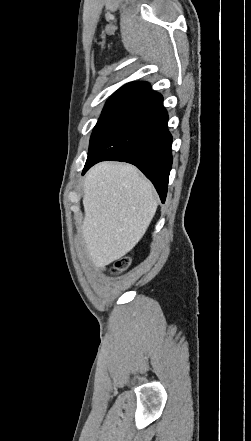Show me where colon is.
I'll return each instance as SVG.
<instances>
[{
    "mask_svg": "<svg viewBox=\"0 0 251 441\" xmlns=\"http://www.w3.org/2000/svg\"><path fill=\"white\" fill-rule=\"evenodd\" d=\"M130 264L129 258H121L117 260L114 264L113 273L118 274L121 271L125 270Z\"/></svg>",
    "mask_w": 251,
    "mask_h": 441,
    "instance_id": "1",
    "label": "colon"
}]
</instances>
